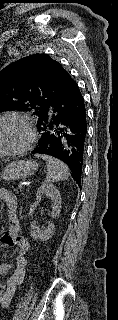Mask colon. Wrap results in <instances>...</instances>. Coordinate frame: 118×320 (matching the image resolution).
<instances>
[{
	"label": "colon",
	"mask_w": 118,
	"mask_h": 320,
	"mask_svg": "<svg viewBox=\"0 0 118 320\" xmlns=\"http://www.w3.org/2000/svg\"><path fill=\"white\" fill-rule=\"evenodd\" d=\"M18 228L14 226L11 228L10 233L6 234L2 238V242L4 246H24L23 239L17 234Z\"/></svg>",
	"instance_id": "colon-1"
}]
</instances>
